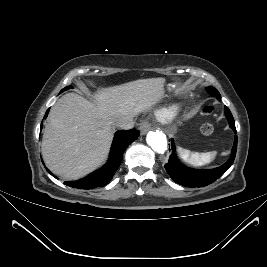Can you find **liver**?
Masks as SVG:
<instances>
[{
    "instance_id": "6515ba94",
    "label": "liver",
    "mask_w": 267,
    "mask_h": 267,
    "mask_svg": "<svg viewBox=\"0 0 267 267\" xmlns=\"http://www.w3.org/2000/svg\"><path fill=\"white\" fill-rule=\"evenodd\" d=\"M164 86V78H151L102 88L94 96L96 104L76 93L63 95L51 108L43 133L41 151L47 167L67 180L94 171L109 152L113 122L150 109Z\"/></svg>"
}]
</instances>
